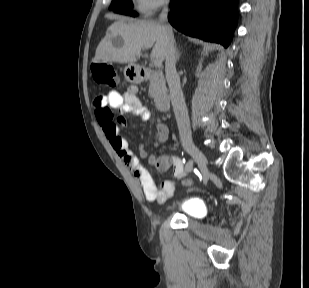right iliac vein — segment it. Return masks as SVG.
<instances>
[{
  "mask_svg": "<svg viewBox=\"0 0 309 288\" xmlns=\"http://www.w3.org/2000/svg\"><path fill=\"white\" fill-rule=\"evenodd\" d=\"M186 151L192 156V158L194 159V161L196 162V160H201V163H203V168H201L204 176H207V165H208V161L207 158L205 157V155L195 146L190 145L186 148Z\"/></svg>",
  "mask_w": 309,
  "mask_h": 288,
  "instance_id": "obj_1",
  "label": "right iliac vein"
}]
</instances>
